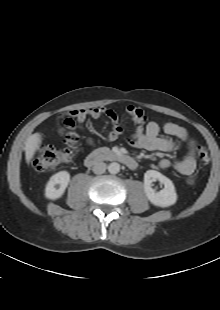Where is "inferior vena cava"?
Instances as JSON below:
<instances>
[{"label":"inferior vena cava","mask_w":220,"mask_h":310,"mask_svg":"<svg viewBox=\"0 0 220 310\" xmlns=\"http://www.w3.org/2000/svg\"><path fill=\"white\" fill-rule=\"evenodd\" d=\"M107 165L104 162H96L92 170L95 174H103L106 171Z\"/></svg>","instance_id":"inferior-vena-cava-1"}]
</instances>
